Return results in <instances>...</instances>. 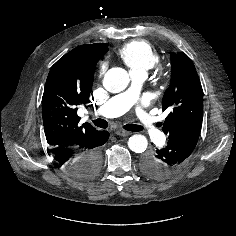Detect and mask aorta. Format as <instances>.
Segmentation results:
<instances>
[{
  "mask_svg": "<svg viewBox=\"0 0 236 236\" xmlns=\"http://www.w3.org/2000/svg\"><path fill=\"white\" fill-rule=\"evenodd\" d=\"M129 75L123 68L114 67L109 69L103 79L105 89L111 93H119L128 86ZM148 146L147 138L144 135L136 134L129 138L128 147L135 153H143Z\"/></svg>",
  "mask_w": 236,
  "mask_h": 236,
  "instance_id": "obj_1",
  "label": "aorta"
}]
</instances>
